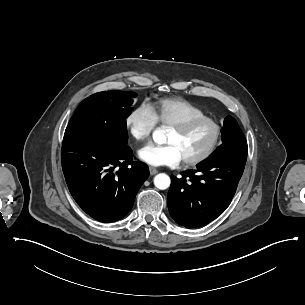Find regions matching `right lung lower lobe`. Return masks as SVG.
<instances>
[{
	"mask_svg": "<svg viewBox=\"0 0 305 305\" xmlns=\"http://www.w3.org/2000/svg\"><path fill=\"white\" fill-rule=\"evenodd\" d=\"M132 158L127 145L103 147L79 142L62 146V168L69 191L88 215L109 223L131 210L149 176L147 165Z\"/></svg>",
	"mask_w": 305,
	"mask_h": 305,
	"instance_id": "1",
	"label": "right lung lower lobe"
}]
</instances>
